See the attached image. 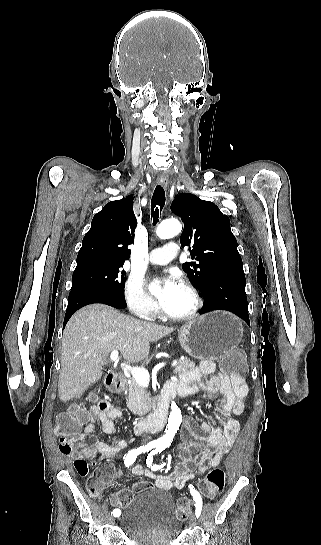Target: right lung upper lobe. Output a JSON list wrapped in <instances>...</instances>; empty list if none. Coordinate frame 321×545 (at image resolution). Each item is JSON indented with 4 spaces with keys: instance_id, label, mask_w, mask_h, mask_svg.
I'll return each instance as SVG.
<instances>
[{
    "instance_id": "cb5924a9",
    "label": "right lung upper lobe",
    "mask_w": 321,
    "mask_h": 545,
    "mask_svg": "<svg viewBox=\"0 0 321 545\" xmlns=\"http://www.w3.org/2000/svg\"><path fill=\"white\" fill-rule=\"evenodd\" d=\"M137 222L133 195L111 201L98 212L82 241L76 268L87 265H123L130 257L128 245L134 243Z\"/></svg>"
}]
</instances>
